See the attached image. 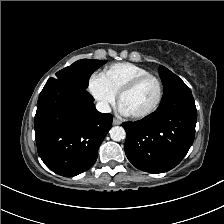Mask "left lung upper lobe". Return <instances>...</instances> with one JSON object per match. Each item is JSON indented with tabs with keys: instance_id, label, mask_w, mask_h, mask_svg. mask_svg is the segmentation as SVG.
<instances>
[{
	"instance_id": "1",
	"label": "left lung upper lobe",
	"mask_w": 224,
	"mask_h": 224,
	"mask_svg": "<svg viewBox=\"0 0 224 224\" xmlns=\"http://www.w3.org/2000/svg\"><path fill=\"white\" fill-rule=\"evenodd\" d=\"M158 72L164 85V94L161 102L171 99L179 92L190 90L177 75L166 67L160 66Z\"/></svg>"
}]
</instances>
